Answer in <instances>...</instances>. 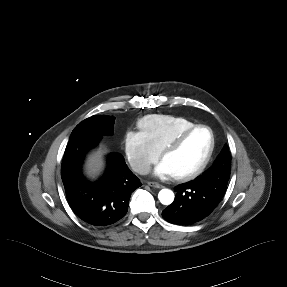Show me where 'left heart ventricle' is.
<instances>
[{"label":"left heart ventricle","mask_w":287,"mask_h":287,"mask_svg":"<svg viewBox=\"0 0 287 287\" xmlns=\"http://www.w3.org/2000/svg\"><path fill=\"white\" fill-rule=\"evenodd\" d=\"M211 137L206 129L194 131L174 152L166 155L162 161L171 176L182 175L196 169L209 150Z\"/></svg>","instance_id":"obj_1"}]
</instances>
